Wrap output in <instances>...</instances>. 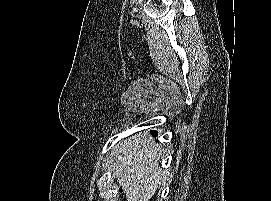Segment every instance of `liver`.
Returning a JSON list of instances; mask_svg holds the SVG:
<instances>
[{
  "label": "liver",
  "mask_w": 271,
  "mask_h": 201,
  "mask_svg": "<svg viewBox=\"0 0 271 201\" xmlns=\"http://www.w3.org/2000/svg\"><path fill=\"white\" fill-rule=\"evenodd\" d=\"M159 146L147 132L134 134L112 149L113 177L121 186L126 201H149L166 178L159 167Z\"/></svg>",
  "instance_id": "liver-1"
}]
</instances>
